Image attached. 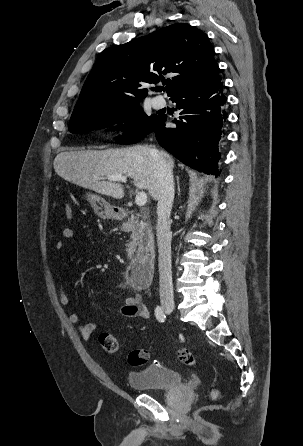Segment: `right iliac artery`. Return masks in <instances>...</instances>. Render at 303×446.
I'll list each match as a JSON object with an SVG mask.
<instances>
[{"mask_svg":"<svg viewBox=\"0 0 303 446\" xmlns=\"http://www.w3.org/2000/svg\"><path fill=\"white\" fill-rule=\"evenodd\" d=\"M155 317L159 322H164L166 315L164 313V310L161 306H157L155 309Z\"/></svg>","mask_w":303,"mask_h":446,"instance_id":"obj_1","label":"right iliac artery"}]
</instances>
